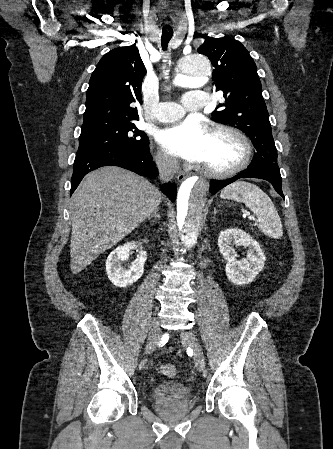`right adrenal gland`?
I'll return each mask as SVG.
<instances>
[{
  "label": "right adrenal gland",
  "instance_id": "right-adrenal-gland-1",
  "mask_svg": "<svg viewBox=\"0 0 333 449\" xmlns=\"http://www.w3.org/2000/svg\"><path fill=\"white\" fill-rule=\"evenodd\" d=\"M157 217L158 219H160V215L158 214V209L155 210V212L148 217V220H151L152 218Z\"/></svg>",
  "mask_w": 333,
  "mask_h": 449
}]
</instances>
